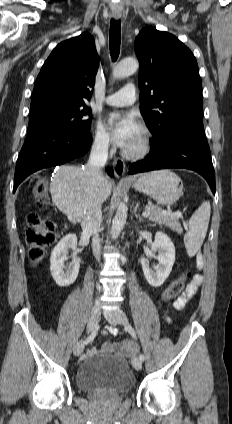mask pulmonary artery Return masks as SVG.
I'll use <instances>...</instances> for the list:
<instances>
[{"mask_svg": "<svg viewBox=\"0 0 232 424\" xmlns=\"http://www.w3.org/2000/svg\"><path fill=\"white\" fill-rule=\"evenodd\" d=\"M137 97V91L133 84L124 86L118 92L106 97L104 102L115 107H124L132 105Z\"/></svg>", "mask_w": 232, "mask_h": 424, "instance_id": "obj_1", "label": "pulmonary artery"}]
</instances>
